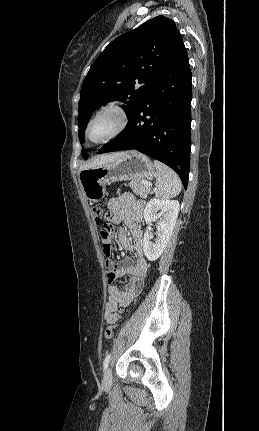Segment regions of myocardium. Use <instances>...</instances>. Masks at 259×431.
<instances>
[{
    "label": "myocardium",
    "mask_w": 259,
    "mask_h": 431,
    "mask_svg": "<svg viewBox=\"0 0 259 431\" xmlns=\"http://www.w3.org/2000/svg\"><path fill=\"white\" fill-rule=\"evenodd\" d=\"M105 113H113L116 116L117 118L116 126L108 135H106L102 139L93 141L91 140L89 135L90 128L94 123V121L97 120L101 115ZM128 122H129V114L125 105L119 100L108 101L103 105H101L100 107H98L88 119V122L85 127V138L91 144H95V145L103 144L119 136L126 129Z\"/></svg>",
    "instance_id": "obj_1"
}]
</instances>
